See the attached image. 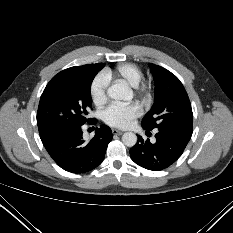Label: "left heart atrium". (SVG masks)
<instances>
[{
	"label": "left heart atrium",
	"instance_id": "1",
	"mask_svg": "<svg viewBox=\"0 0 233 233\" xmlns=\"http://www.w3.org/2000/svg\"><path fill=\"white\" fill-rule=\"evenodd\" d=\"M142 108L138 103L121 104L113 103L103 114L104 121L113 127L128 128L133 120L140 116Z\"/></svg>",
	"mask_w": 233,
	"mask_h": 233
}]
</instances>
